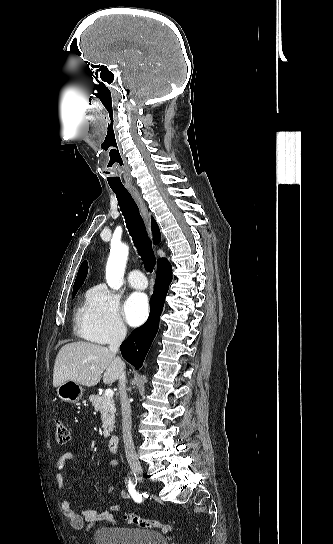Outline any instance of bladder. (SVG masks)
Here are the masks:
<instances>
[{
    "label": "bladder",
    "instance_id": "31cf9c89",
    "mask_svg": "<svg viewBox=\"0 0 333 544\" xmlns=\"http://www.w3.org/2000/svg\"><path fill=\"white\" fill-rule=\"evenodd\" d=\"M93 539L95 544H168L160 532L124 526L100 528Z\"/></svg>",
    "mask_w": 333,
    "mask_h": 544
}]
</instances>
